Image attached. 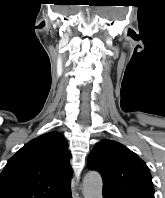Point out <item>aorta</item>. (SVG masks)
<instances>
[{
    "instance_id": "1",
    "label": "aorta",
    "mask_w": 165,
    "mask_h": 198,
    "mask_svg": "<svg viewBox=\"0 0 165 198\" xmlns=\"http://www.w3.org/2000/svg\"><path fill=\"white\" fill-rule=\"evenodd\" d=\"M103 181L101 175L96 171L88 172L83 180L84 198H103Z\"/></svg>"
}]
</instances>
